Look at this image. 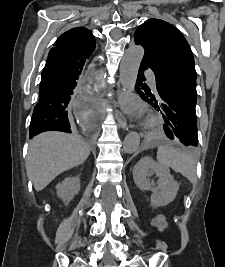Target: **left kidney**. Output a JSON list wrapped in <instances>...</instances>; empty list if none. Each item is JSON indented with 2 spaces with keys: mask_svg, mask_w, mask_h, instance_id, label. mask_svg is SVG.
Instances as JSON below:
<instances>
[{
  "mask_svg": "<svg viewBox=\"0 0 225 267\" xmlns=\"http://www.w3.org/2000/svg\"><path fill=\"white\" fill-rule=\"evenodd\" d=\"M150 174L158 177V186L153 187L147 178ZM133 179L141 190H151V203L154 206H166L171 203L179 190V183L174 180L167 167L161 166L150 157L141 158L133 168Z\"/></svg>",
  "mask_w": 225,
  "mask_h": 267,
  "instance_id": "left-kidney-1",
  "label": "left kidney"
}]
</instances>
